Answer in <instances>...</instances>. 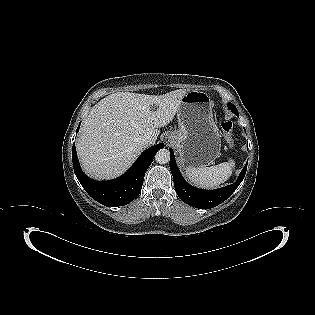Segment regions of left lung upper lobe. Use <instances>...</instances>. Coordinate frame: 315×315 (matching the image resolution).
Segmentation results:
<instances>
[{"mask_svg":"<svg viewBox=\"0 0 315 315\" xmlns=\"http://www.w3.org/2000/svg\"><path fill=\"white\" fill-rule=\"evenodd\" d=\"M228 107L234 114H238L237 108L232 103H229Z\"/></svg>","mask_w":315,"mask_h":315,"instance_id":"obj_1","label":"left lung upper lobe"}]
</instances>
